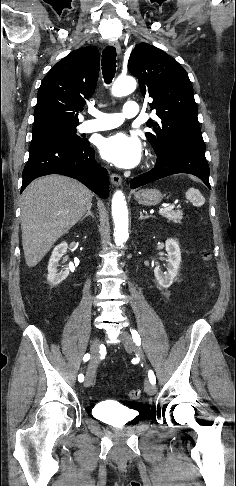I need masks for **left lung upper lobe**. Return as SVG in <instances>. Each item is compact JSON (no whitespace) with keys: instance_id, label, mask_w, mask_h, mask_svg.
I'll return each mask as SVG.
<instances>
[{"instance_id":"1","label":"left lung upper lobe","mask_w":236,"mask_h":486,"mask_svg":"<svg viewBox=\"0 0 236 486\" xmlns=\"http://www.w3.org/2000/svg\"><path fill=\"white\" fill-rule=\"evenodd\" d=\"M128 70L134 74L143 97L153 99L158 122H147L145 133L156 154L178 144L205 149L197 118V104L185 69L161 49L140 43L132 50Z\"/></svg>"}]
</instances>
